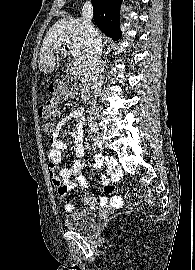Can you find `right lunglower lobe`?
<instances>
[{"label":"right lung lower lobe","mask_w":195,"mask_h":270,"mask_svg":"<svg viewBox=\"0 0 195 270\" xmlns=\"http://www.w3.org/2000/svg\"><path fill=\"white\" fill-rule=\"evenodd\" d=\"M97 27L113 40L121 37L120 5L122 0H91Z\"/></svg>","instance_id":"98d812e1"}]
</instances>
